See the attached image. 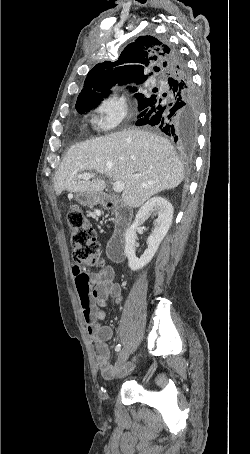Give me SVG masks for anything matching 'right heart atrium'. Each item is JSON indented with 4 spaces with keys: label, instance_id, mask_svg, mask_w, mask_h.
I'll return each mask as SVG.
<instances>
[{
    "label": "right heart atrium",
    "instance_id": "1",
    "mask_svg": "<svg viewBox=\"0 0 250 454\" xmlns=\"http://www.w3.org/2000/svg\"><path fill=\"white\" fill-rule=\"evenodd\" d=\"M128 115V107L124 101L110 99L98 106L95 124L105 132L117 130Z\"/></svg>",
    "mask_w": 250,
    "mask_h": 454
}]
</instances>
